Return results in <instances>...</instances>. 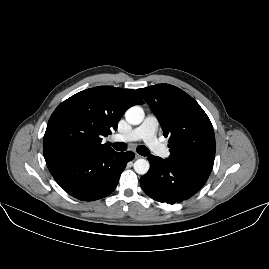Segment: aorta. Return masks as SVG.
<instances>
[{
  "label": "aorta",
  "instance_id": "aorta-1",
  "mask_svg": "<svg viewBox=\"0 0 269 269\" xmlns=\"http://www.w3.org/2000/svg\"><path fill=\"white\" fill-rule=\"evenodd\" d=\"M125 119L131 125H139L144 119V111L139 106H133L126 111ZM134 170L137 174H146L149 170V162L146 159H137L134 162Z\"/></svg>",
  "mask_w": 269,
  "mask_h": 269
}]
</instances>
